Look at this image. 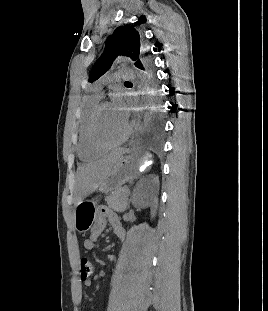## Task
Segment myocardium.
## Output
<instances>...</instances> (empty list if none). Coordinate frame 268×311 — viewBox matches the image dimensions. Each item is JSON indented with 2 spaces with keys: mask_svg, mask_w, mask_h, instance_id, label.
<instances>
[{
  "mask_svg": "<svg viewBox=\"0 0 268 311\" xmlns=\"http://www.w3.org/2000/svg\"><path fill=\"white\" fill-rule=\"evenodd\" d=\"M107 105H109V102H107V101L99 102L96 105V107L93 109V111L90 115L89 121H88V137H89L90 143L96 149L101 150V151L112 149V148H115V147L123 144L129 138V136L131 134V126H130V124L127 123V128H126L125 133L117 141L112 142V143H105L99 139V137L97 135V120H98V117L100 115V112Z\"/></svg>",
  "mask_w": 268,
  "mask_h": 311,
  "instance_id": "obj_1",
  "label": "myocardium"
}]
</instances>
